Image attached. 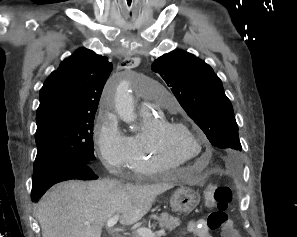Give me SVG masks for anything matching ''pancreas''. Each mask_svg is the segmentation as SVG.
I'll return each instance as SVG.
<instances>
[{
	"label": "pancreas",
	"instance_id": "pancreas-1",
	"mask_svg": "<svg viewBox=\"0 0 297 237\" xmlns=\"http://www.w3.org/2000/svg\"><path fill=\"white\" fill-rule=\"evenodd\" d=\"M158 223L161 228H165L167 230H174L180 225L179 218L169 216L167 213H162L161 216L158 218ZM132 237H140L138 234L132 235Z\"/></svg>",
	"mask_w": 297,
	"mask_h": 237
}]
</instances>
